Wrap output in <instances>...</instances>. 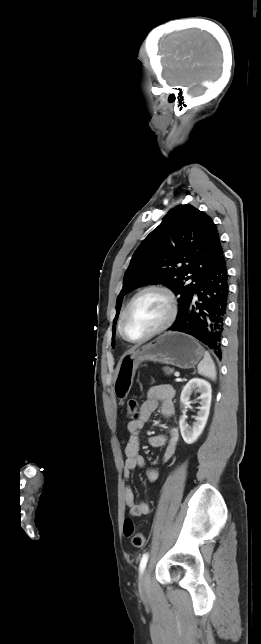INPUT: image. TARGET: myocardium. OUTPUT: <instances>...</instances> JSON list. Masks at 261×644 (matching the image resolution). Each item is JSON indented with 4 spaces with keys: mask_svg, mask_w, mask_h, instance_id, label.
<instances>
[{
    "mask_svg": "<svg viewBox=\"0 0 261 644\" xmlns=\"http://www.w3.org/2000/svg\"><path fill=\"white\" fill-rule=\"evenodd\" d=\"M149 291L160 292L166 297V299L168 301V305H169L168 316H167L166 320L158 328H156L155 330H153L152 332H150L146 336H144L142 338H138V339H132V338H130L128 336L127 331H126V322H127L129 312L131 310L132 305L137 300V298L140 297L142 294H144L146 292H149ZM177 315H178V302H177V299H176V296H175L174 292L169 287H167L165 285H162V284L147 285V286L141 288L139 291H137L132 296V298L130 299L128 304L126 305V307H125V309L123 311L122 317H121V321H120V333H121L122 337L129 343H134V344L143 343V342L148 341L151 338L161 334L162 332L166 331L167 329H169L173 325V323L175 322V320L177 318Z\"/></svg>",
    "mask_w": 261,
    "mask_h": 644,
    "instance_id": "myocardium-1",
    "label": "myocardium"
}]
</instances>
